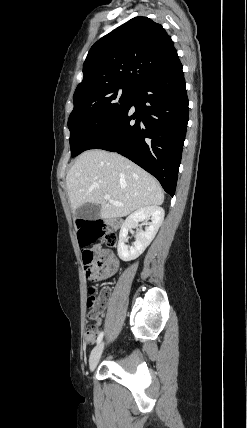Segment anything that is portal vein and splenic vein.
<instances>
[{
	"instance_id": "18ae733b",
	"label": "portal vein and splenic vein",
	"mask_w": 247,
	"mask_h": 428,
	"mask_svg": "<svg viewBox=\"0 0 247 428\" xmlns=\"http://www.w3.org/2000/svg\"><path fill=\"white\" fill-rule=\"evenodd\" d=\"M104 199H105V200H107V201H109L110 203H112V204L116 205V206H123V204H122V203H120V202H118V201H115V200L111 199L110 195H108V194H105V195H104Z\"/></svg>"
}]
</instances>
